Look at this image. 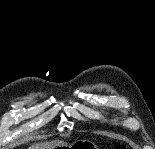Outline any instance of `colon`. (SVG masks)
I'll use <instances>...</instances> for the list:
<instances>
[{
    "label": "colon",
    "instance_id": "5ec220e1",
    "mask_svg": "<svg viewBox=\"0 0 155 149\" xmlns=\"http://www.w3.org/2000/svg\"><path fill=\"white\" fill-rule=\"evenodd\" d=\"M116 149H127V147L123 144H120L116 147Z\"/></svg>",
    "mask_w": 155,
    "mask_h": 149
}]
</instances>
